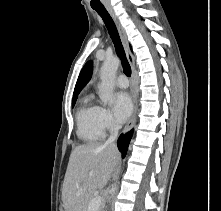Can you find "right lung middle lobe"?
<instances>
[{"mask_svg":"<svg viewBox=\"0 0 221 211\" xmlns=\"http://www.w3.org/2000/svg\"><path fill=\"white\" fill-rule=\"evenodd\" d=\"M76 100H77V96L73 97V99H72V107H74Z\"/></svg>","mask_w":221,"mask_h":211,"instance_id":"1","label":"right lung middle lobe"}]
</instances>
